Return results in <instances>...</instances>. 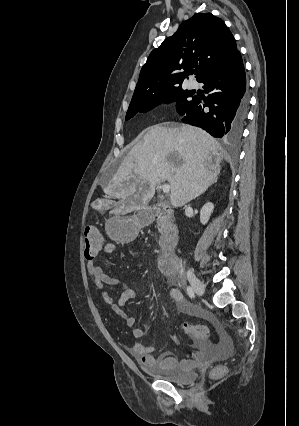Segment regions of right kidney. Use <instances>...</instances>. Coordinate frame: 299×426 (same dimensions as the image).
I'll return each mask as SVG.
<instances>
[{
  "mask_svg": "<svg viewBox=\"0 0 299 426\" xmlns=\"http://www.w3.org/2000/svg\"><path fill=\"white\" fill-rule=\"evenodd\" d=\"M214 205L211 202H207L203 205L200 210V222L205 225L210 219V216L213 212Z\"/></svg>",
  "mask_w": 299,
  "mask_h": 426,
  "instance_id": "ca27d5eb",
  "label": "right kidney"
}]
</instances>
